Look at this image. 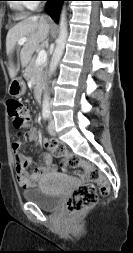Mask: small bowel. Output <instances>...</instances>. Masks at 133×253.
<instances>
[{
    "label": "small bowel",
    "instance_id": "c3829d8e",
    "mask_svg": "<svg viewBox=\"0 0 133 253\" xmlns=\"http://www.w3.org/2000/svg\"><path fill=\"white\" fill-rule=\"evenodd\" d=\"M38 139V134L35 130H29L25 133L23 140L15 141L12 144L14 151V170L16 180L20 187L28 189L35 187L42 182V178L45 174L54 172L56 166L52 162V157L49 153L44 154V164L35 168V170L29 174L27 168L30 164V158L20 154L19 150L28 142H32Z\"/></svg>",
    "mask_w": 133,
    "mask_h": 253
}]
</instances>
